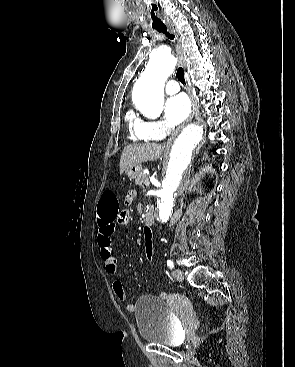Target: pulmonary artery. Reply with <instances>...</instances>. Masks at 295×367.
Segmentation results:
<instances>
[{"instance_id":"pulmonary-artery-1","label":"pulmonary artery","mask_w":295,"mask_h":367,"mask_svg":"<svg viewBox=\"0 0 295 367\" xmlns=\"http://www.w3.org/2000/svg\"><path fill=\"white\" fill-rule=\"evenodd\" d=\"M180 90L179 84L175 80H169L165 86V92L169 95L175 94Z\"/></svg>"}]
</instances>
